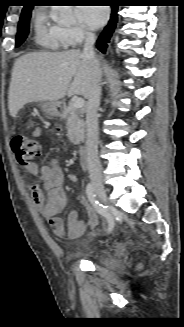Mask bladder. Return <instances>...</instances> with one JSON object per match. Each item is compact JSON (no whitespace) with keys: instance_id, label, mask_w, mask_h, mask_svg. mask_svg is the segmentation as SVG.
I'll use <instances>...</instances> for the list:
<instances>
[{"instance_id":"obj_1","label":"bladder","mask_w":184,"mask_h":327,"mask_svg":"<svg viewBox=\"0 0 184 327\" xmlns=\"http://www.w3.org/2000/svg\"><path fill=\"white\" fill-rule=\"evenodd\" d=\"M92 253H93L94 256L107 257V255L103 251H101L100 249H93ZM113 262H114V265L116 267H119L121 265V262L118 261V260L113 259Z\"/></svg>"}]
</instances>
